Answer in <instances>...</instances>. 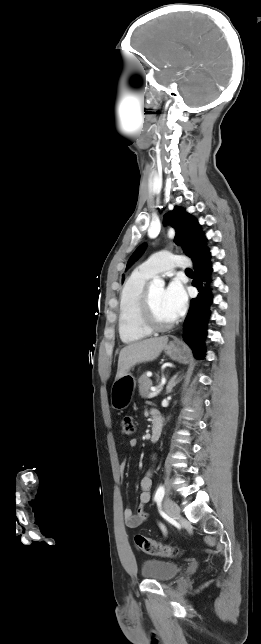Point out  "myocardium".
I'll list each match as a JSON object with an SVG mask.
<instances>
[{
	"label": "myocardium",
	"mask_w": 261,
	"mask_h": 644,
	"mask_svg": "<svg viewBox=\"0 0 261 644\" xmlns=\"http://www.w3.org/2000/svg\"><path fill=\"white\" fill-rule=\"evenodd\" d=\"M139 316L141 324L150 332H162L171 329L175 320L168 323H160L153 314L149 288H145L140 301Z\"/></svg>",
	"instance_id": "1"
}]
</instances>
